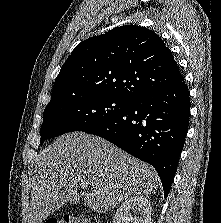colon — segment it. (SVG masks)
<instances>
[{
    "instance_id": "obj_1",
    "label": "colon",
    "mask_w": 221,
    "mask_h": 223,
    "mask_svg": "<svg viewBox=\"0 0 221 223\" xmlns=\"http://www.w3.org/2000/svg\"><path fill=\"white\" fill-rule=\"evenodd\" d=\"M44 223H99L97 219L79 217L49 218Z\"/></svg>"
}]
</instances>
